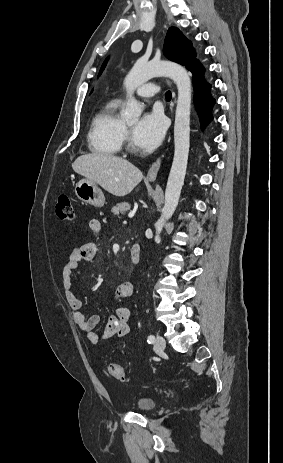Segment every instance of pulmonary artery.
Returning a JSON list of instances; mask_svg holds the SVG:
<instances>
[{
  "label": "pulmonary artery",
  "mask_w": 283,
  "mask_h": 463,
  "mask_svg": "<svg viewBox=\"0 0 283 463\" xmlns=\"http://www.w3.org/2000/svg\"><path fill=\"white\" fill-rule=\"evenodd\" d=\"M160 87L154 83H149L138 88L137 95L143 98L153 97L158 94Z\"/></svg>",
  "instance_id": "obj_1"
}]
</instances>
